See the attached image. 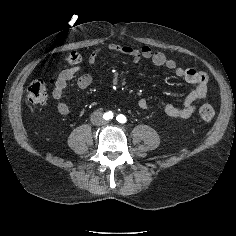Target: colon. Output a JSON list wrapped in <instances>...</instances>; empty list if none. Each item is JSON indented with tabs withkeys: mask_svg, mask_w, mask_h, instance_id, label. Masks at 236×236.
Returning a JSON list of instances; mask_svg holds the SVG:
<instances>
[{
	"mask_svg": "<svg viewBox=\"0 0 236 236\" xmlns=\"http://www.w3.org/2000/svg\"><path fill=\"white\" fill-rule=\"evenodd\" d=\"M65 61L69 65L76 66L80 64L81 56L72 52L65 57ZM51 83H47L41 78L30 81L26 88L28 101L33 105L44 104L48 98V85ZM198 111L201 119L205 122H210L214 118L215 111L210 104L201 103Z\"/></svg>",
	"mask_w": 236,
	"mask_h": 236,
	"instance_id": "colon-1",
	"label": "colon"
}]
</instances>
